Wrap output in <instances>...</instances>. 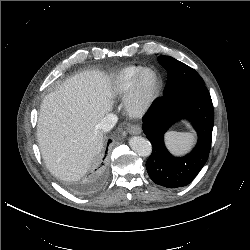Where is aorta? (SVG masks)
<instances>
[{
  "label": "aorta",
  "instance_id": "762f6f07",
  "mask_svg": "<svg viewBox=\"0 0 250 250\" xmlns=\"http://www.w3.org/2000/svg\"><path fill=\"white\" fill-rule=\"evenodd\" d=\"M131 149L139 156L147 157L152 152V145L149 140L141 136H133L129 139Z\"/></svg>",
  "mask_w": 250,
  "mask_h": 250
}]
</instances>
